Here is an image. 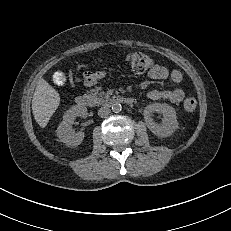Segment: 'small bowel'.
<instances>
[{
  "instance_id": "obj_1",
  "label": "small bowel",
  "mask_w": 231,
  "mask_h": 231,
  "mask_svg": "<svg viewBox=\"0 0 231 231\" xmlns=\"http://www.w3.org/2000/svg\"><path fill=\"white\" fill-rule=\"evenodd\" d=\"M106 77V72L103 70L87 71L83 75L85 86H92L98 81ZM148 77L155 81L170 80L178 84L182 81L183 75L178 70H169L166 67L156 64L148 72ZM147 98L153 101L166 100L172 103H179L183 100L185 93L180 88L172 90H150L146 94Z\"/></svg>"
}]
</instances>
